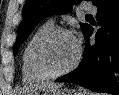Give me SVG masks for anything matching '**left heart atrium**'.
<instances>
[{"instance_id": "obj_1", "label": "left heart atrium", "mask_w": 119, "mask_h": 95, "mask_svg": "<svg viewBox=\"0 0 119 95\" xmlns=\"http://www.w3.org/2000/svg\"><path fill=\"white\" fill-rule=\"evenodd\" d=\"M73 37H74L75 41L77 42V41H78V40H77V37H76V36H74V35H73Z\"/></svg>"}]
</instances>
